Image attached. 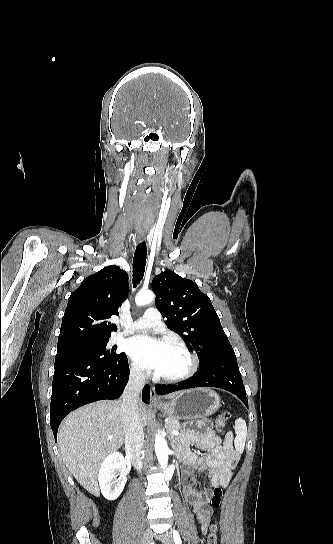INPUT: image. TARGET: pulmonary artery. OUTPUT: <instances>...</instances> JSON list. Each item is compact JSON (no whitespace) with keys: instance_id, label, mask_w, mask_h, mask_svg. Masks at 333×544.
Masks as SVG:
<instances>
[{"instance_id":"obj_1","label":"pulmonary artery","mask_w":333,"mask_h":544,"mask_svg":"<svg viewBox=\"0 0 333 544\" xmlns=\"http://www.w3.org/2000/svg\"><path fill=\"white\" fill-rule=\"evenodd\" d=\"M122 324L126 326V330L122 333V335H126L141 329L158 327L161 324V317L159 311L156 308L150 307L139 319L129 324Z\"/></svg>"}]
</instances>
